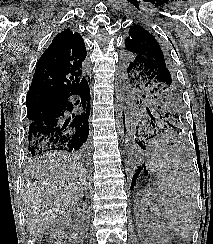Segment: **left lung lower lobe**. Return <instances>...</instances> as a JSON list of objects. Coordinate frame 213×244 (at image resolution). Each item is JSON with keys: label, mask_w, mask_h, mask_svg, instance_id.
I'll return each instance as SVG.
<instances>
[{"label": "left lung lower lobe", "mask_w": 213, "mask_h": 244, "mask_svg": "<svg viewBox=\"0 0 213 244\" xmlns=\"http://www.w3.org/2000/svg\"><path fill=\"white\" fill-rule=\"evenodd\" d=\"M123 116L126 144L132 152L138 153L148 149L152 143L164 135L154 120H148L131 107L127 106L126 111H123ZM134 177L136 179V176Z\"/></svg>", "instance_id": "0a47b994"}]
</instances>
